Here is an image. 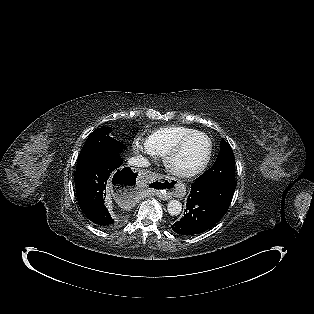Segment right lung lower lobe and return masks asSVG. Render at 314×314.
<instances>
[{
    "label": "right lung lower lobe",
    "mask_w": 314,
    "mask_h": 314,
    "mask_svg": "<svg viewBox=\"0 0 314 314\" xmlns=\"http://www.w3.org/2000/svg\"><path fill=\"white\" fill-rule=\"evenodd\" d=\"M123 159L119 152L93 162L86 167L76 170L74 175L76 195L79 206L86 217L105 229L119 225V219L110 215L104 201L106 185L111 181H119L124 187L135 185L137 174L130 168H123Z\"/></svg>",
    "instance_id": "98d812e1"
}]
</instances>
